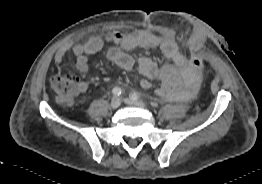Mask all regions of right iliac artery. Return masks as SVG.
Segmentation results:
<instances>
[{"mask_svg":"<svg viewBox=\"0 0 262 184\" xmlns=\"http://www.w3.org/2000/svg\"><path fill=\"white\" fill-rule=\"evenodd\" d=\"M112 93H113V95H115V96H119V95H121L122 90H121L120 87H114L113 90H112Z\"/></svg>","mask_w":262,"mask_h":184,"instance_id":"obj_1","label":"right iliac artery"}]
</instances>
